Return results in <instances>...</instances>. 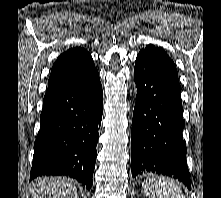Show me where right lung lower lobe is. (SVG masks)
<instances>
[{
	"label": "right lung lower lobe",
	"instance_id": "1",
	"mask_svg": "<svg viewBox=\"0 0 221 198\" xmlns=\"http://www.w3.org/2000/svg\"><path fill=\"white\" fill-rule=\"evenodd\" d=\"M103 92L97 70L44 99L30 179L67 175L89 190L93 184Z\"/></svg>",
	"mask_w": 221,
	"mask_h": 198
}]
</instances>
